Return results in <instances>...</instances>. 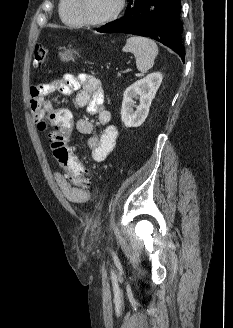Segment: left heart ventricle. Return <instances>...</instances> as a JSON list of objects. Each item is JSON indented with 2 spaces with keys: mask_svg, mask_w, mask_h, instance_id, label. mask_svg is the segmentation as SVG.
Masks as SVG:
<instances>
[{
  "mask_svg": "<svg viewBox=\"0 0 233 328\" xmlns=\"http://www.w3.org/2000/svg\"><path fill=\"white\" fill-rule=\"evenodd\" d=\"M118 0H82L83 16L98 21L110 16L116 9Z\"/></svg>",
  "mask_w": 233,
  "mask_h": 328,
  "instance_id": "left-heart-ventricle-1",
  "label": "left heart ventricle"
}]
</instances>
